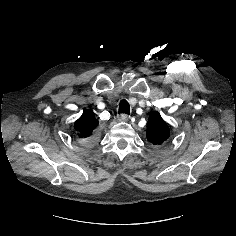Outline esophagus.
I'll list each match as a JSON object with an SVG mask.
<instances>
[{"instance_id":"obj_1","label":"esophagus","mask_w":236,"mask_h":236,"mask_svg":"<svg viewBox=\"0 0 236 236\" xmlns=\"http://www.w3.org/2000/svg\"><path fill=\"white\" fill-rule=\"evenodd\" d=\"M118 119H119L120 121L126 122V121H128L129 116L126 115V114H122V115H120V116L118 117Z\"/></svg>"}]
</instances>
